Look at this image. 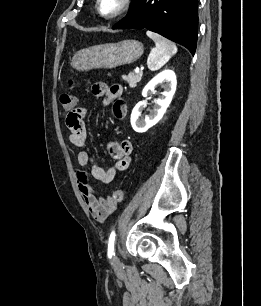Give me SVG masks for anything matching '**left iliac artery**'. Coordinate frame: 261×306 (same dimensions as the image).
<instances>
[{
    "mask_svg": "<svg viewBox=\"0 0 261 306\" xmlns=\"http://www.w3.org/2000/svg\"><path fill=\"white\" fill-rule=\"evenodd\" d=\"M115 231H112L108 241V257L111 258L114 253V244H115Z\"/></svg>",
    "mask_w": 261,
    "mask_h": 306,
    "instance_id": "left-iliac-artery-1",
    "label": "left iliac artery"
}]
</instances>
